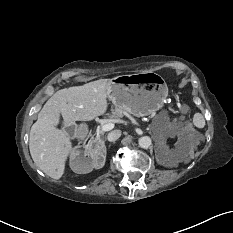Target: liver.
<instances>
[{
	"label": "liver",
	"instance_id": "1",
	"mask_svg": "<svg viewBox=\"0 0 233 233\" xmlns=\"http://www.w3.org/2000/svg\"><path fill=\"white\" fill-rule=\"evenodd\" d=\"M110 80L58 90L38 113L30 130L29 150L35 165L49 177L60 179L68 156L73 154L71 137L64 129L56 128L60 117L64 126H73L75 121H91L104 115Z\"/></svg>",
	"mask_w": 233,
	"mask_h": 233
}]
</instances>
